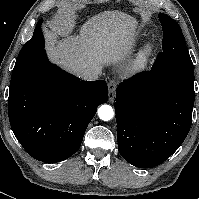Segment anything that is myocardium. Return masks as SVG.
Returning a JSON list of instances; mask_svg holds the SVG:
<instances>
[{
	"label": "myocardium",
	"instance_id": "myocardium-1",
	"mask_svg": "<svg viewBox=\"0 0 199 199\" xmlns=\"http://www.w3.org/2000/svg\"><path fill=\"white\" fill-rule=\"evenodd\" d=\"M153 49H154V44H152V43L147 44L144 47V49L139 53V55L135 61L136 68L140 69V68H143L144 66H146Z\"/></svg>",
	"mask_w": 199,
	"mask_h": 199
}]
</instances>
